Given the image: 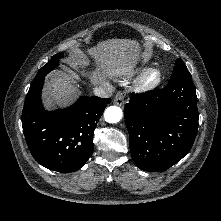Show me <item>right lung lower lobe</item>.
<instances>
[{
    "label": "right lung lower lobe",
    "mask_w": 221,
    "mask_h": 221,
    "mask_svg": "<svg viewBox=\"0 0 221 221\" xmlns=\"http://www.w3.org/2000/svg\"><path fill=\"white\" fill-rule=\"evenodd\" d=\"M44 77L33 80L26 96L22 127L34 159L57 172L81 168L93 152V132L109 98L82 96L73 106L48 112L41 103Z\"/></svg>",
    "instance_id": "98d812e1"
}]
</instances>
